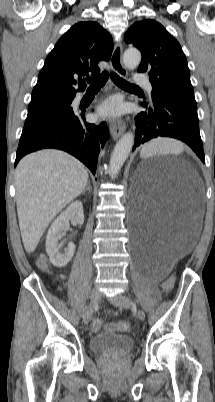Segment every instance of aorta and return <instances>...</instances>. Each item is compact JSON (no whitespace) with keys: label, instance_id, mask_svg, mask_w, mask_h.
<instances>
[{"label":"aorta","instance_id":"aorta-1","mask_svg":"<svg viewBox=\"0 0 215 402\" xmlns=\"http://www.w3.org/2000/svg\"><path fill=\"white\" fill-rule=\"evenodd\" d=\"M141 61V53L135 48L127 49L123 54V64L125 68L133 70L137 68ZM134 144V135L131 132L124 134L116 143L110 158V176L115 178L123 164L125 163Z\"/></svg>","mask_w":215,"mask_h":402}]
</instances>
